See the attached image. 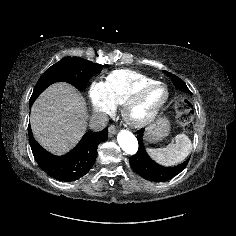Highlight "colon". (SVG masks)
<instances>
[{"label":"colon","mask_w":236,"mask_h":236,"mask_svg":"<svg viewBox=\"0 0 236 236\" xmlns=\"http://www.w3.org/2000/svg\"><path fill=\"white\" fill-rule=\"evenodd\" d=\"M175 110L178 122L186 131H191L193 127L191 103L186 99L180 98L176 101Z\"/></svg>","instance_id":"colon-1"}]
</instances>
